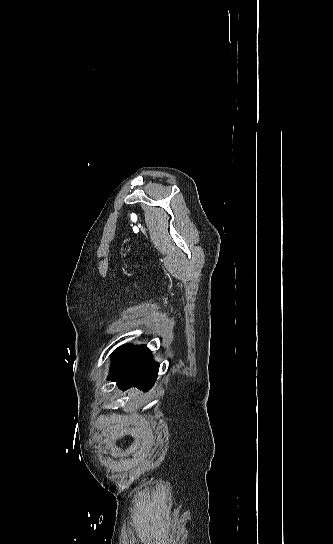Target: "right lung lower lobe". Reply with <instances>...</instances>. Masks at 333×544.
Returning <instances> with one entry per match:
<instances>
[{"label": "right lung lower lobe", "mask_w": 333, "mask_h": 544, "mask_svg": "<svg viewBox=\"0 0 333 544\" xmlns=\"http://www.w3.org/2000/svg\"><path fill=\"white\" fill-rule=\"evenodd\" d=\"M159 364L146 345H130L112 358L108 380L116 381L121 390L136 387L149 391L158 376Z\"/></svg>", "instance_id": "1"}]
</instances>
